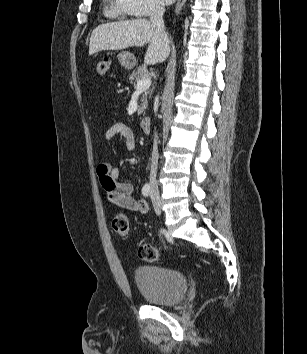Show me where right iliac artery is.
<instances>
[{
  "label": "right iliac artery",
  "mask_w": 307,
  "mask_h": 354,
  "mask_svg": "<svg viewBox=\"0 0 307 354\" xmlns=\"http://www.w3.org/2000/svg\"><path fill=\"white\" fill-rule=\"evenodd\" d=\"M150 191H151V187L149 184H145L142 188V194L145 196V197H148L149 194H150Z\"/></svg>",
  "instance_id": "1"
}]
</instances>
